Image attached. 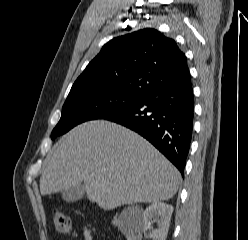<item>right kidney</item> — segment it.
Segmentation results:
<instances>
[{
	"mask_svg": "<svg viewBox=\"0 0 248 240\" xmlns=\"http://www.w3.org/2000/svg\"><path fill=\"white\" fill-rule=\"evenodd\" d=\"M173 206L162 202H156L145 209L142 220L125 232L127 240H141L142 234L151 228L153 221L157 222V229L152 230V240H166L169 230Z\"/></svg>",
	"mask_w": 248,
	"mask_h": 240,
	"instance_id": "1",
	"label": "right kidney"
}]
</instances>
